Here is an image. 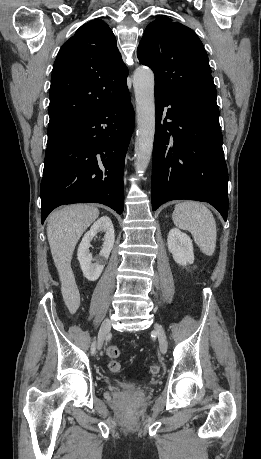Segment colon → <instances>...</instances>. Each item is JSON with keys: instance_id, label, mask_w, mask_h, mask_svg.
<instances>
[{"instance_id": "colon-1", "label": "colon", "mask_w": 261, "mask_h": 459, "mask_svg": "<svg viewBox=\"0 0 261 459\" xmlns=\"http://www.w3.org/2000/svg\"><path fill=\"white\" fill-rule=\"evenodd\" d=\"M106 355L109 358L107 363L108 369L113 372L117 373L120 371V363L116 360V358L120 355V350L116 345H109L106 348ZM160 365L157 363H153L149 367V371L151 374L156 375L160 372Z\"/></svg>"}]
</instances>
